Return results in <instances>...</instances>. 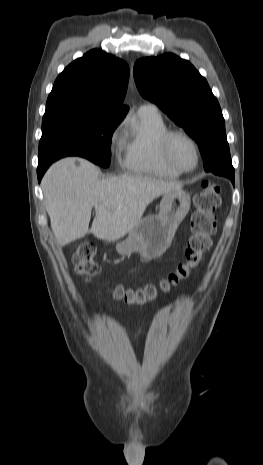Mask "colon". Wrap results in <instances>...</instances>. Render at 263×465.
<instances>
[{"label":"colon","mask_w":263,"mask_h":465,"mask_svg":"<svg viewBox=\"0 0 263 465\" xmlns=\"http://www.w3.org/2000/svg\"><path fill=\"white\" fill-rule=\"evenodd\" d=\"M220 205V187L209 181L202 183V190L194 197L195 210L191 216V236L185 251V261L167 278L160 281L159 286L147 284L139 289H124L117 286L113 296L131 305H143L154 300L158 291L169 292L173 287L186 280L201 262L203 255L212 244L211 237L216 232L217 217L215 210ZM73 261L79 275L92 278L100 270L95 260V248L89 243H82L74 252Z\"/></svg>","instance_id":"5ec220e1"}]
</instances>
